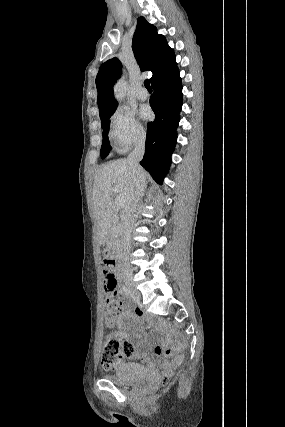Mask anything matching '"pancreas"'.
Returning a JSON list of instances; mask_svg holds the SVG:
<instances>
[{"label":"pancreas","instance_id":"obj_1","mask_svg":"<svg viewBox=\"0 0 285 427\" xmlns=\"http://www.w3.org/2000/svg\"><path fill=\"white\" fill-rule=\"evenodd\" d=\"M120 227L118 224H114L108 231L106 244L109 247L115 246L119 241Z\"/></svg>","mask_w":285,"mask_h":427}]
</instances>
